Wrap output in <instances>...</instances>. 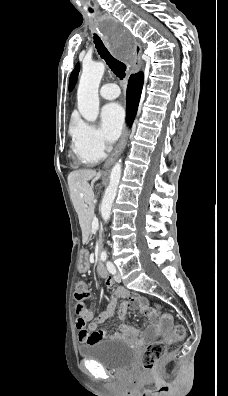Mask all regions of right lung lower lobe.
I'll return each mask as SVG.
<instances>
[{
	"label": "right lung lower lobe",
	"instance_id": "1",
	"mask_svg": "<svg viewBox=\"0 0 228 396\" xmlns=\"http://www.w3.org/2000/svg\"><path fill=\"white\" fill-rule=\"evenodd\" d=\"M143 86V73L139 72L137 74L131 75L127 87V96H126V119L129 124H132L142 91Z\"/></svg>",
	"mask_w": 228,
	"mask_h": 396
}]
</instances>
